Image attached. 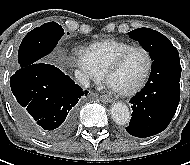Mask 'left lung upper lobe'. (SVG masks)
Instances as JSON below:
<instances>
[{"mask_svg": "<svg viewBox=\"0 0 190 165\" xmlns=\"http://www.w3.org/2000/svg\"><path fill=\"white\" fill-rule=\"evenodd\" d=\"M128 35L149 52L152 60L176 50L167 37L150 28H138L129 32Z\"/></svg>", "mask_w": 190, "mask_h": 165, "instance_id": "left-lung-upper-lobe-1", "label": "left lung upper lobe"}]
</instances>
